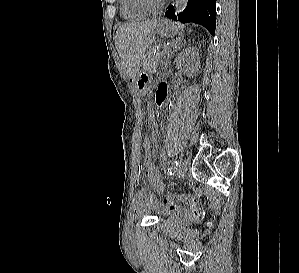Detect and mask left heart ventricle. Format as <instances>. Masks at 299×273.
I'll list each match as a JSON object with an SVG mask.
<instances>
[{
	"label": "left heart ventricle",
	"instance_id": "left-heart-ventricle-1",
	"mask_svg": "<svg viewBox=\"0 0 299 273\" xmlns=\"http://www.w3.org/2000/svg\"><path fill=\"white\" fill-rule=\"evenodd\" d=\"M152 5L159 4L162 0H148Z\"/></svg>",
	"mask_w": 299,
	"mask_h": 273
}]
</instances>
